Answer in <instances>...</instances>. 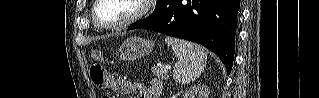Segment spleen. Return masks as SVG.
I'll list each match as a JSON object with an SVG mask.
<instances>
[{
	"mask_svg": "<svg viewBox=\"0 0 319 98\" xmlns=\"http://www.w3.org/2000/svg\"><path fill=\"white\" fill-rule=\"evenodd\" d=\"M178 61L174 66L173 78L179 84H189L204 71L207 61L205 50L192 42L167 37L165 39Z\"/></svg>",
	"mask_w": 319,
	"mask_h": 98,
	"instance_id": "3e777b00",
	"label": "spleen"
}]
</instances>
